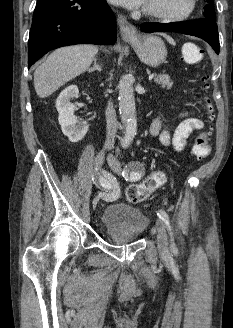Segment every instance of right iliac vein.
<instances>
[{
  "instance_id": "63e3f726",
  "label": "right iliac vein",
  "mask_w": 233,
  "mask_h": 328,
  "mask_svg": "<svg viewBox=\"0 0 233 328\" xmlns=\"http://www.w3.org/2000/svg\"><path fill=\"white\" fill-rule=\"evenodd\" d=\"M104 159H105V151L101 150L100 152H98V154L95 157L96 170H99L101 168V166L103 165ZM98 203H99V197H95L92 202L94 209L96 208Z\"/></svg>"
}]
</instances>
